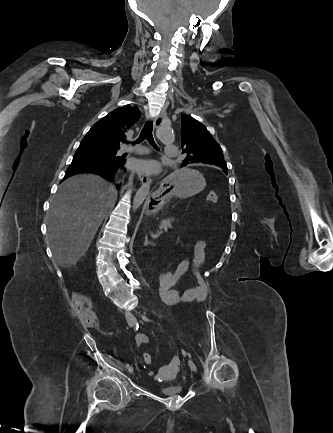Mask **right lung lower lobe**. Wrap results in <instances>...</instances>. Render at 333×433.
I'll use <instances>...</instances> for the list:
<instances>
[{
    "instance_id": "obj_1",
    "label": "right lung lower lobe",
    "mask_w": 333,
    "mask_h": 433,
    "mask_svg": "<svg viewBox=\"0 0 333 433\" xmlns=\"http://www.w3.org/2000/svg\"><path fill=\"white\" fill-rule=\"evenodd\" d=\"M82 143H87L83 141ZM126 160L122 157L118 159H96L90 157H76L74 156L72 163L65 173L64 179L78 174V173H95L105 179L111 181L115 175L120 172H126L124 168ZM119 186H117L118 188Z\"/></svg>"
}]
</instances>
